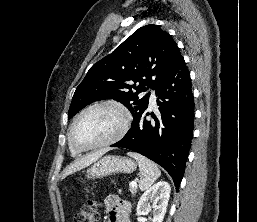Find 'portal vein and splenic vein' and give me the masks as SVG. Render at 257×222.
Returning a JSON list of instances; mask_svg holds the SVG:
<instances>
[{"mask_svg":"<svg viewBox=\"0 0 257 222\" xmlns=\"http://www.w3.org/2000/svg\"><path fill=\"white\" fill-rule=\"evenodd\" d=\"M130 186H131V187H136V186H137L136 181H132V182L130 183Z\"/></svg>","mask_w":257,"mask_h":222,"instance_id":"18ae733b","label":"portal vein and splenic vein"}]
</instances>
